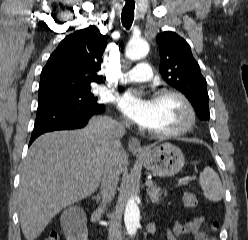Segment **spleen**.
Segmentation results:
<instances>
[{
  "label": "spleen",
  "mask_w": 248,
  "mask_h": 240,
  "mask_svg": "<svg viewBox=\"0 0 248 240\" xmlns=\"http://www.w3.org/2000/svg\"><path fill=\"white\" fill-rule=\"evenodd\" d=\"M199 183L204 196L213 202L220 201L224 194V189L218 174L211 168L205 167L199 177Z\"/></svg>",
  "instance_id": "1"
}]
</instances>
